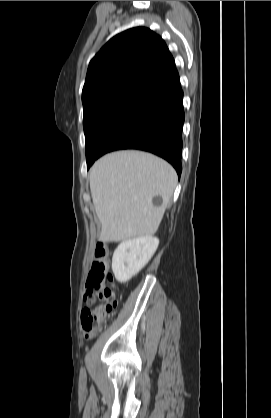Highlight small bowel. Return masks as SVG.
Here are the masks:
<instances>
[{
    "label": "small bowel",
    "instance_id": "1",
    "mask_svg": "<svg viewBox=\"0 0 271 418\" xmlns=\"http://www.w3.org/2000/svg\"><path fill=\"white\" fill-rule=\"evenodd\" d=\"M89 289V285H87V289H86V291Z\"/></svg>",
    "mask_w": 271,
    "mask_h": 418
}]
</instances>
